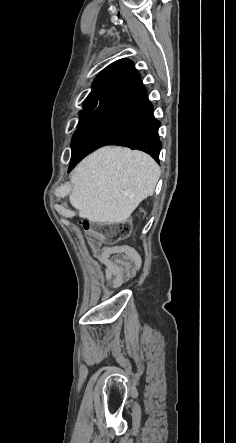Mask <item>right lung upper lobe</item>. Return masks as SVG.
I'll return each instance as SVG.
<instances>
[{"label": "right lung upper lobe", "instance_id": "1", "mask_svg": "<svg viewBox=\"0 0 236 443\" xmlns=\"http://www.w3.org/2000/svg\"><path fill=\"white\" fill-rule=\"evenodd\" d=\"M140 80L131 60L120 59L102 70L92 84V91L85 102L108 97L126 90Z\"/></svg>", "mask_w": 236, "mask_h": 443}]
</instances>
